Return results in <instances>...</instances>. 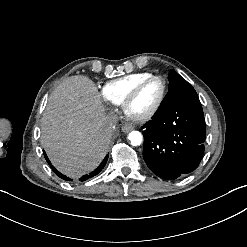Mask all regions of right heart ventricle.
Returning <instances> with one entry per match:
<instances>
[{
    "label": "right heart ventricle",
    "mask_w": 247,
    "mask_h": 247,
    "mask_svg": "<svg viewBox=\"0 0 247 247\" xmlns=\"http://www.w3.org/2000/svg\"><path fill=\"white\" fill-rule=\"evenodd\" d=\"M151 73H138L124 76L108 82L104 87V98L113 104H120L132 87Z\"/></svg>",
    "instance_id": "obj_1"
}]
</instances>
